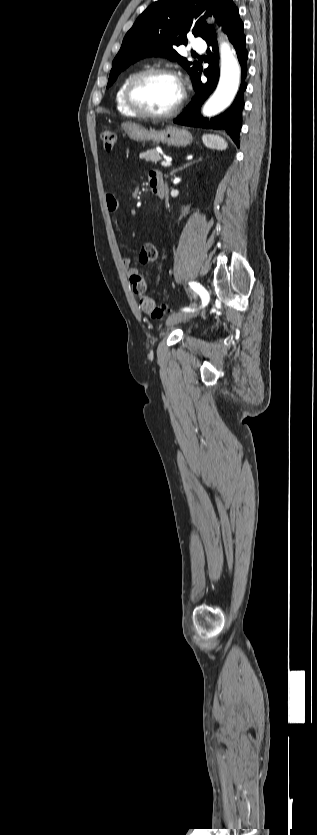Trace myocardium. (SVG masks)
<instances>
[{
    "mask_svg": "<svg viewBox=\"0 0 317 835\" xmlns=\"http://www.w3.org/2000/svg\"><path fill=\"white\" fill-rule=\"evenodd\" d=\"M154 75H165V76L171 77V78L175 79L180 84V80H179V77L177 76V74L169 68H165V67L147 68V69L142 70V71L138 72L137 74H135L131 78V80L129 81V83L126 87V90H125L126 103L129 106V108L137 116H140V117H143V118L164 119V118L172 117L175 114H177L180 111V109L182 108L184 98H185V94L182 91H181L180 99L177 102V104L174 107H172L171 109H169L167 111H164V112H160V113L151 112L149 110H146L143 106H141L139 104V102L136 99L137 88L142 84L143 81H145L147 78H149L151 76H154Z\"/></svg>",
    "mask_w": 317,
    "mask_h": 835,
    "instance_id": "f54148a6",
    "label": "myocardium"
}]
</instances>
